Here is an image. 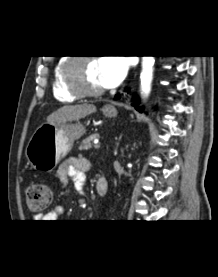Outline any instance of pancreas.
<instances>
[{
	"label": "pancreas",
	"instance_id": "cf45deb5",
	"mask_svg": "<svg viewBox=\"0 0 218 277\" xmlns=\"http://www.w3.org/2000/svg\"><path fill=\"white\" fill-rule=\"evenodd\" d=\"M98 137V134H92L82 141L79 150H88L92 147V141Z\"/></svg>",
	"mask_w": 218,
	"mask_h": 277
}]
</instances>
